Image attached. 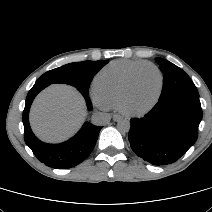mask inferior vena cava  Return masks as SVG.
<instances>
[{
  "label": "inferior vena cava",
  "mask_w": 212,
  "mask_h": 212,
  "mask_svg": "<svg viewBox=\"0 0 212 212\" xmlns=\"http://www.w3.org/2000/svg\"><path fill=\"white\" fill-rule=\"evenodd\" d=\"M91 119L93 124L102 126L110 120V117L107 113L96 112L92 115Z\"/></svg>",
  "instance_id": "1"
}]
</instances>
